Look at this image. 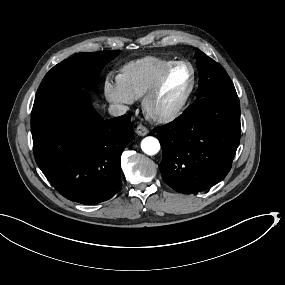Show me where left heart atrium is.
Wrapping results in <instances>:
<instances>
[{"mask_svg":"<svg viewBox=\"0 0 285 285\" xmlns=\"http://www.w3.org/2000/svg\"><path fill=\"white\" fill-rule=\"evenodd\" d=\"M146 116L147 117H151L152 115L150 113H146Z\"/></svg>","mask_w":285,"mask_h":285,"instance_id":"1","label":"left heart atrium"}]
</instances>
